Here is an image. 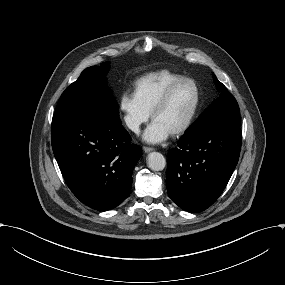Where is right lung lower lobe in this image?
I'll list each match as a JSON object with an SVG mask.
<instances>
[{"mask_svg": "<svg viewBox=\"0 0 285 285\" xmlns=\"http://www.w3.org/2000/svg\"><path fill=\"white\" fill-rule=\"evenodd\" d=\"M52 148L66 184L87 206L106 211L130 194L132 171L141 149L131 144L119 115L69 111L55 113Z\"/></svg>", "mask_w": 285, "mask_h": 285, "instance_id": "1", "label": "right lung lower lobe"}]
</instances>
